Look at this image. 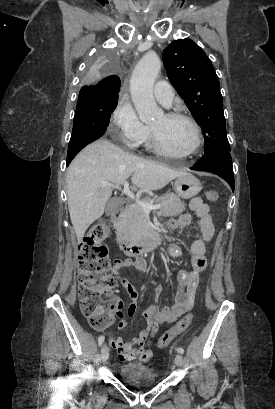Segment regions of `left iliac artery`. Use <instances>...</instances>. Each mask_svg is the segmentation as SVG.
I'll return each mask as SVG.
<instances>
[{
    "label": "left iliac artery",
    "mask_w": 275,
    "mask_h": 409,
    "mask_svg": "<svg viewBox=\"0 0 275 409\" xmlns=\"http://www.w3.org/2000/svg\"><path fill=\"white\" fill-rule=\"evenodd\" d=\"M177 352L183 354L184 353V349L182 347L177 348Z\"/></svg>",
    "instance_id": "obj_1"
}]
</instances>
